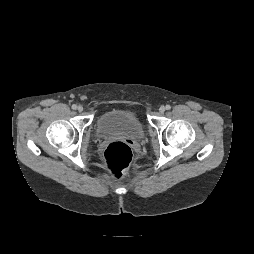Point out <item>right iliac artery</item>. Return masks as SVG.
<instances>
[{
  "mask_svg": "<svg viewBox=\"0 0 254 254\" xmlns=\"http://www.w3.org/2000/svg\"><path fill=\"white\" fill-rule=\"evenodd\" d=\"M76 108H77V106H76L75 104H73V105H72V109L75 110Z\"/></svg>",
  "mask_w": 254,
  "mask_h": 254,
  "instance_id": "obj_1",
  "label": "right iliac artery"
}]
</instances>
